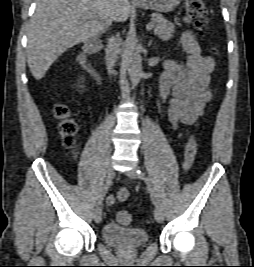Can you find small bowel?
<instances>
[{
    "mask_svg": "<svg viewBox=\"0 0 254 267\" xmlns=\"http://www.w3.org/2000/svg\"><path fill=\"white\" fill-rule=\"evenodd\" d=\"M183 20L185 23L191 22L189 17H184ZM181 44L188 54L186 65L167 59L160 77L161 99L165 100L171 94L169 121L175 129L179 125H197L206 104L211 100L208 86L215 67L211 56L202 55L200 45L191 31L182 33ZM128 198L129 190L121 188L116 196H107L106 203L112 206Z\"/></svg>",
    "mask_w": 254,
    "mask_h": 267,
    "instance_id": "c3829d8e",
    "label": "small bowel"
}]
</instances>
